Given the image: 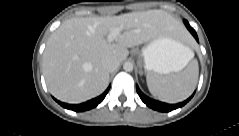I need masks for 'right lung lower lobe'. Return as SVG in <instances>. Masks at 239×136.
I'll list each match as a JSON object with an SVG mask.
<instances>
[{
	"label": "right lung lower lobe",
	"instance_id": "right-lung-lower-lobe-1",
	"mask_svg": "<svg viewBox=\"0 0 239 136\" xmlns=\"http://www.w3.org/2000/svg\"><path fill=\"white\" fill-rule=\"evenodd\" d=\"M109 89H110V86L107 88V90L103 94H101L97 98H94V99L89 100V101H87L85 103H82V104H77V105L65 104V103H62L58 100H56V101L61 106H63L64 108H67L69 110L80 111V112L81 111H86V110L92 109V108L96 107L98 104H100L104 100V98H105L106 94L108 93Z\"/></svg>",
	"mask_w": 239,
	"mask_h": 136
}]
</instances>
